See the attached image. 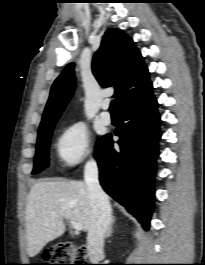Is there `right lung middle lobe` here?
I'll return each mask as SVG.
<instances>
[{
	"instance_id": "dd1d6c3e",
	"label": "right lung middle lobe",
	"mask_w": 205,
	"mask_h": 265,
	"mask_svg": "<svg viewBox=\"0 0 205 265\" xmlns=\"http://www.w3.org/2000/svg\"><path fill=\"white\" fill-rule=\"evenodd\" d=\"M55 124L49 125L38 132V140L36 144V155L34 158V168L32 174L41 172L43 169L47 168L48 163V150L50 145V138ZM100 139L97 141L99 143Z\"/></svg>"
}]
</instances>
